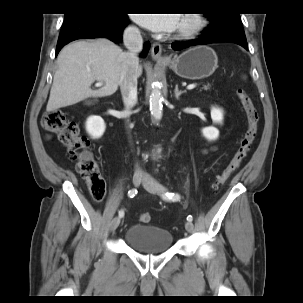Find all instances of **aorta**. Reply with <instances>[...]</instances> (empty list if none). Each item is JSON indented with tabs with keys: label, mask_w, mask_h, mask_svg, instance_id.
Listing matches in <instances>:
<instances>
[{
	"label": "aorta",
	"mask_w": 303,
	"mask_h": 303,
	"mask_svg": "<svg viewBox=\"0 0 303 303\" xmlns=\"http://www.w3.org/2000/svg\"><path fill=\"white\" fill-rule=\"evenodd\" d=\"M162 101L161 85L159 82H155L150 95V113L155 120L162 118Z\"/></svg>",
	"instance_id": "obj_1"
}]
</instances>
